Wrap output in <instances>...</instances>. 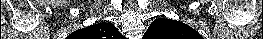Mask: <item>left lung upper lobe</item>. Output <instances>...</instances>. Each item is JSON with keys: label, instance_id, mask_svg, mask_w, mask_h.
<instances>
[{"label": "left lung upper lobe", "instance_id": "left-lung-upper-lobe-1", "mask_svg": "<svg viewBox=\"0 0 263 39\" xmlns=\"http://www.w3.org/2000/svg\"><path fill=\"white\" fill-rule=\"evenodd\" d=\"M143 39H204L192 27L171 19H156L151 23Z\"/></svg>", "mask_w": 263, "mask_h": 39}]
</instances>
